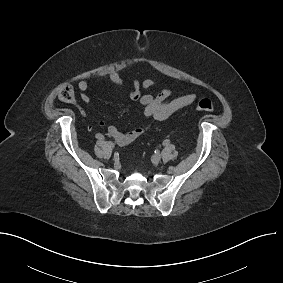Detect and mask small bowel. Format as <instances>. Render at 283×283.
I'll return each mask as SVG.
<instances>
[{
	"label": "small bowel",
	"mask_w": 283,
	"mask_h": 283,
	"mask_svg": "<svg viewBox=\"0 0 283 283\" xmlns=\"http://www.w3.org/2000/svg\"><path fill=\"white\" fill-rule=\"evenodd\" d=\"M107 81L111 83L120 95L125 94V85L117 71H111L108 75ZM156 84V80L148 78L143 81L135 78L133 79L132 89L127 92V96L134 101L140 102L143 106V114L151 122H159L167 119L174 112L190 106L195 96L193 94L183 95L172 98V93L169 89H163L158 93H152L151 89ZM89 88L87 80L78 82V89L80 90V99L84 104L90 102V98L86 91ZM142 90L146 93H142ZM102 125V123H99ZM150 128V124L144 127H138L128 132H122L115 126H109L107 133L110 137L116 140L120 145H128L141 136H143Z\"/></svg>",
	"instance_id": "obj_1"
}]
</instances>
